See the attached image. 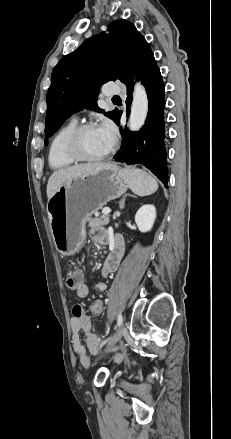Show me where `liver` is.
Returning a JSON list of instances; mask_svg holds the SVG:
<instances>
[{"mask_svg":"<svg viewBox=\"0 0 231 439\" xmlns=\"http://www.w3.org/2000/svg\"><path fill=\"white\" fill-rule=\"evenodd\" d=\"M103 163H85L61 168L53 172L47 183L48 201L59 188L72 179L91 173Z\"/></svg>","mask_w":231,"mask_h":439,"instance_id":"obj_1","label":"liver"}]
</instances>
